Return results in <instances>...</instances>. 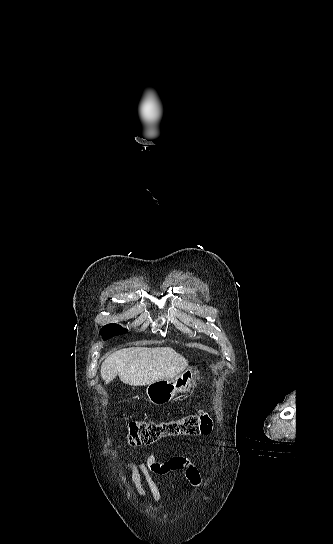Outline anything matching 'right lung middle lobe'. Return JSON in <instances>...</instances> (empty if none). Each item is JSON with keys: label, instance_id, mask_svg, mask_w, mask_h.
I'll return each instance as SVG.
<instances>
[{"label": "right lung middle lobe", "instance_id": "right-lung-middle-lobe-1", "mask_svg": "<svg viewBox=\"0 0 333 544\" xmlns=\"http://www.w3.org/2000/svg\"><path fill=\"white\" fill-rule=\"evenodd\" d=\"M125 333H127V329L122 328L118 324H108L100 330V334L104 340Z\"/></svg>", "mask_w": 333, "mask_h": 544}]
</instances>
